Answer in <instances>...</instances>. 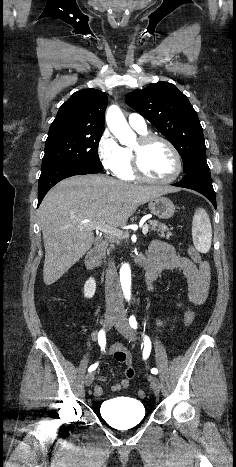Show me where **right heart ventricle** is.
I'll use <instances>...</instances> for the list:
<instances>
[{"label": "right heart ventricle", "mask_w": 236, "mask_h": 467, "mask_svg": "<svg viewBox=\"0 0 236 467\" xmlns=\"http://www.w3.org/2000/svg\"><path fill=\"white\" fill-rule=\"evenodd\" d=\"M138 131V130H137ZM141 135H146L147 131H138ZM124 149L125 160L123 165L114 172L118 178L123 180H134L136 178L133 172V155L132 148L126 147Z\"/></svg>", "instance_id": "1"}]
</instances>
